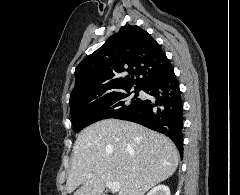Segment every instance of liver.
<instances>
[{
    "mask_svg": "<svg viewBox=\"0 0 240 195\" xmlns=\"http://www.w3.org/2000/svg\"><path fill=\"white\" fill-rule=\"evenodd\" d=\"M179 157L163 133L134 121L101 119L78 133L66 189L72 193L78 187L73 195H102L106 181H119L118 195H144L173 175Z\"/></svg>",
    "mask_w": 240,
    "mask_h": 195,
    "instance_id": "1",
    "label": "liver"
}]
</instances>
